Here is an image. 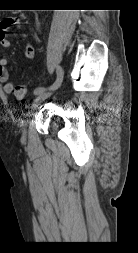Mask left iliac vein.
I'll return each instance as SVG.
<instances>
[{
    "mask_svg": "<svg viewBox=\"0 0 138 253\" xmlns=\"http://www.w3.org/2000/svg\"><path fill=\"white\" fill-rule=\"evenodd\" d=\"M57 88H50L49 91L46 92H42L41 94H39L33 101L32 105H31V112L29 113V115H31V113H33L39 106L40 104L45 101ZM22 137L25 138L26 137V128H24L22 130Z\"/></svg>",
    "mask_w": 138,
    "mask_h": 253,
    "instance_id": "1",
    "label": "left iliac vein"
}]
</instances>
